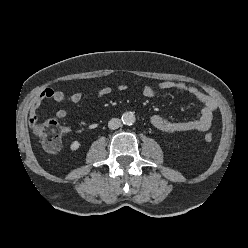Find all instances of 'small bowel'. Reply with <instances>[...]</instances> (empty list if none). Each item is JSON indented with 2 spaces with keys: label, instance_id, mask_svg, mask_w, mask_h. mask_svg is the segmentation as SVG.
<instances>
[{
  "label": "small bowel",
  "instance_id": "obj_1",
  "mask_svg": "<svg viewBox=\"0 0 248 248\" xmlns=\"http://www.w3.org/2000/svg\"><path fill=\"white\" fill-rule=\"evenodd\" d=\"M118 89L123 91L126 89V86L120 85ZM159 90H174L190 94L202 105V110L198 118L187 121H174L166 116L153 114L150 116V121L156 129L165 133L173 134L179 132H204L211 127L217 105L214 99L207 93L184 82L162 81L157 84L146 85L143 89V95L147 98H153ZM111 92L112 89L109 86H103L97 93V97L100 99L107 97ZM45 100H53L57 103L76 104L82 100V93L74 92L72 94H66L63 91L54 90L52 88H46L43 90L30 105L29 123L32 128L37 124L38 109ZM66 116L67 111L65 109L60 108L56 111L57 118L63 119ZM64 131L68 132L69 128L65 127Z\"/></svg>",
  "mask_w": 248,
  "mask_h": 248
}]
</instances>
